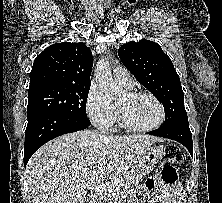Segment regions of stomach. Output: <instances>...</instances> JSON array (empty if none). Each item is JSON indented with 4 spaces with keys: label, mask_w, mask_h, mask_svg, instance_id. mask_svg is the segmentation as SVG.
<instances>
[{
    "label": "stomach",
    "mask_w": 222,
    "mask_h": 203,
    "mask_svg": "<svg viewBox=\"0 0 222 203\" xmlns=\"http://www.w3.org/2000/svg\"><path fill=\"white\" fill-rule=\"evenodd\" d=\"M162 156V146L154 145L148 147L146 150H144L141 159L138 162L136 173L139 176L149 174Z\"/></svg>",
    "instance_id": "0dacf381"
}]
</instances>
